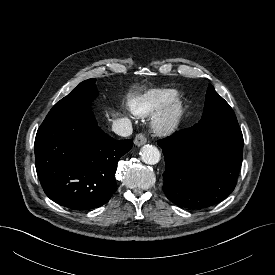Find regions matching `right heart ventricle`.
Instances as JSON below:
<instances>
[{"mask_svg":"<svg viewBox=\"0 0 275 275\" xmlns=\"http://www.w3.org/2000/svg\"><path fill=\"white\" fill-rule=\"evenodd\" d=\"M178 95L173 88L149 89L130 101V109L136 115L148 116L173 102Z\"/></svg>","mask_w":275,"mask_h":275,"instance_id":"right-heart-ventricle-1","label":"right heart ventricle"}]
</instances>
